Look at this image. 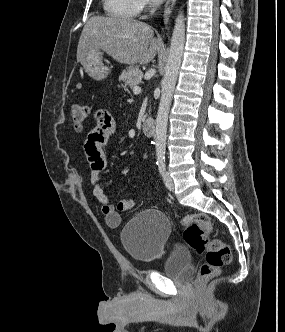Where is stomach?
<instances>
[{
    "mask_svg": "<svg viewBox=\"0 0 285 332\" xmlns=\"http://www.w3.org/2000/svg\"><path fill=\"white\" fill-rule=\"evenodd\" d=\"M103 60L101 50H95L82 61L86 73L96 81H102L110 74V69L104 65Z\"/></svg>",
    "mask_w": 285,
    "mask_h": 332,
    "instance_id": "obj_1",
    "label": "stomach"
}]
</instances>
